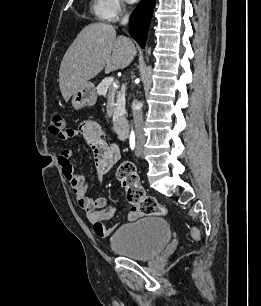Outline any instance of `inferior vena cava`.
<instances>
[{"label": "inferior vena cava", "mask_w": 261, "mask_h": 306, "mask_svg": "<svg viewBox=\"0 0 261 306\" xmlns=\"http://www.w3.org/2000/svg\"><path fill=\"white\" fill-rule=\"evenodd\" d=\"M129 21V15L126 14L121 21V25H126ZM134 125L137 134L143 136V115L142 110L138 108V103L135 101L132 104Z\"/></svg>", "instance_id": "obj_1"}]
</instances>
